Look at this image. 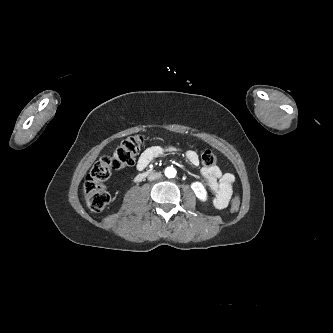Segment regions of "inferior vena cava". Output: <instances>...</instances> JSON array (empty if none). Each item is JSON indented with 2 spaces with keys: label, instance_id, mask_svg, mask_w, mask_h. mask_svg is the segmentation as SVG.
Returning a JSON list of instances; mask_svg holds the SVG:
<instances>
[{
  "label": "inferior vena cava",
  "instance_id": "1",
  "mask_svg": "<svg viewBox=\"0 0 333 333\" xmlns=\"http://www.w3.org/2000/svg\"><path fill=\"white\" fill-rule=\"evenodd\" d=\"M160 177H161V173L155 172V173H151L148 176V180L152 181V180H155V179H159Z\"/></svg>",
  "mask_w": 333,
  "mask_h": 333
}]
</instances>
